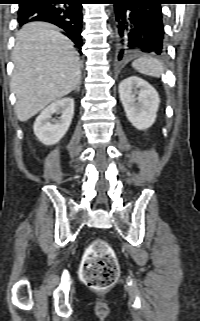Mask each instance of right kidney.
Returning a JSON list of instances; mask_svg holds the SVG:
<instances>
[{
  "label": "right kidney",
  "mask_w": 200,
  "mask_h": 321,
  "mask_svg": "<svg viewBox=\"0 0 200 321\" xmlns=\"http://www.w3.org/2000/svg\"><path fill=\"white\" fill-rule=\"evenodd\" d=\"M57 113L58 120L52 119ZM74 115V100L70 97L52 102L34 122L33 130L36 137L45 145L59 142L68 131Z\"/></svg>",
  "instance_id": "right-kidney-1"
}]
</instances>
